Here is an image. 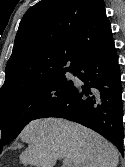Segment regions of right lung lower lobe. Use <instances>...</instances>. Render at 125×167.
<instances>
[{
	"instance_id": "right-lung-lower-lobe-1",
	"label": "right lung lower lobe",
	"mask_w": 125,
	"mask_h": 167,
	"mask_svg": "<svg viewBox=\"0 0 125 167\" xmlns=\"http://www.w3.org/2000/svg\"><path fill=\"white\" fill-rule=\"evenodd\" d=\"M73 73L84 85H73L33 120L59 117L77 122L104 136L123 155V102L111 26L87 48Z\"/></svg>"
}]
</instances>
